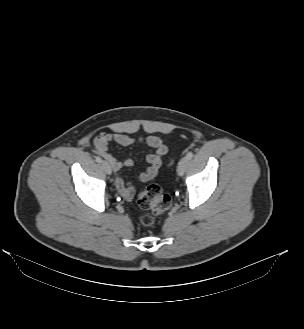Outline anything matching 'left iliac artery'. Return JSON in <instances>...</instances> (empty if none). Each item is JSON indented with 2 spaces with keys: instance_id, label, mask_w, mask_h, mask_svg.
Wrapping results in <instances>:
<instances>
[{
  "instance_id": "obj_1",
  "label": "left iliac artery",
  "mask_w": 304,
  "mask_h": 329,
  "mask_svg": "<svg viewBox=\"0 0 304 329\" xmlns=\"http://www.w3.org/2000/svg\"><path fill=\"white\" fill-rule=\"evenodd\" d=\"M186 157H187L188 160L192 159L193 152L192 151L188 152L187 155H186Z\"/></svg>"
}]
</instances>
